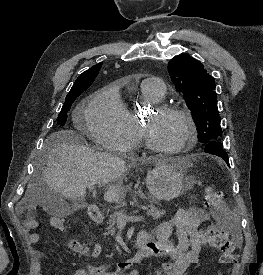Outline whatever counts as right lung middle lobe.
Listing matches in <instances>:
<instances>
[{
	"label": "right lung middle lobe",
	"instance_id": "right-lung-middle-lobe-1",
	"mask_svg": "<svg viewBox=\"0 0 263 275\" xmlns=\"http://www.w3.org/2000/svg\"><path fill=\"white\" fill-rule=\"evenodd\" d=\"M87 88L85 89H82V90H78L72 94H68L66 96V99H65V103L64 105L62 106V109L58 115V120H57V123L60 125V126H63L67 120V112L70 110L71 108V105L72 103L74 102V100L83 92L85 91Z\"/></svg>",
	"mask_w": 263,
	"mask_h": 275
}]
</instances>
